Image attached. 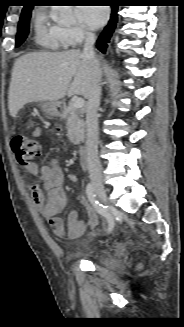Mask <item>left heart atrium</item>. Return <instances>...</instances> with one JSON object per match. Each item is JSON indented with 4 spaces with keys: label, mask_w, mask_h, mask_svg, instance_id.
<instances>
[{
    "label": "left heart atrium",
    "mask_w": 184,
    "mask_h": 327,
    "mask_svg": "<svg viewBox=\"0 0 184 327\" xmlns=\"http://www.w3.org/2000/svg\"><path fill=\"white\" fill-rule=\"evenodd\" d=\"M81 20L90 28L97 29L101 27L108 18V8L98 7L96 5H87L80 8Z\"/></svg>",
    "instance_id": "39dd6f15"
}]
</instances>
